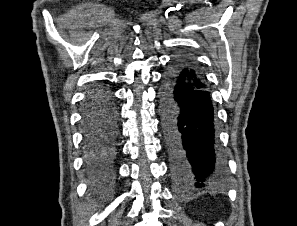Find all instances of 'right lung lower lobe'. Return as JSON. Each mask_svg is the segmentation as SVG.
Instances as JSON below:
<instances>
[{"label": "right lung lower lobe", "instance_id": "right-lung-lower-lobe-1", "mask_svg": "<svg viewBox=\"0 0 297 226\" xmlns=\"http://www.w3.org/2000/svg\"><path fill=\"white\" fill-rule=\"evenodd\" d=\"M117 120L112 91L106 85L93 86L84 100L81 121L85 170L93 184L104 183L113 176Z\"/></svg>", "mask_w": 297, "mask_h": 226}]
</instances>
